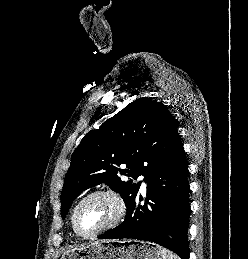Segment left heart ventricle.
Instances as JSON below:
<instances>
[{
	"label": "left heart ventricle",
	"mask_w": 248,
	"mask_h": 259,
	"mask_svg": "<svg viewBox=\"0 0 248 259\" xmlns=\"http://www.w3.org/2000/svg\"><path fill=\"white\" fill-rule=\"evenodd\" d=\"M117 214L116 202L108 196H96L85 201L77 212V226L84 234H92L108 223Z\"/></svg>",
	"instance_id": "obj_1"
}]
</instances>
